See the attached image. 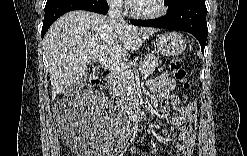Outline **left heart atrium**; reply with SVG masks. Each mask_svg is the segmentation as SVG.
<instances>
[{"instance_id": "39dd6f15", "label": "left heart atrium", "mask_w": 247, "mask_h": 156, "mask_svg": "<svg viewBox=\"0 0 247 156\" xmlns=\"http://www.w3.org/2000/svg\"><path fill=\"white\" fill-rule=\"evenodd\" d=\"M136 1H131V3H135Z\"/></svg>"}]
</instances>
